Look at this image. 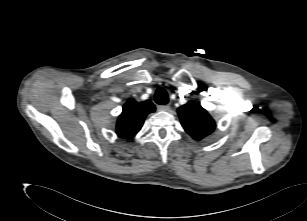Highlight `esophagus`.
<instances>
[{"label":"esophagus","mask_w":307,"mask_h":221,"mask_svg":"<svg viewBox=\"0 0 307 221\" xmlns=\"http://www.w3.org/2000/svg\"><path fill=\"white\" fill-rule=\"evenodd\" d=\"M157 109H158L159 111H169L170 106H169V105H158V106H157Z\"/></svg>","instance_id":"34e87169"}]
</instances>
